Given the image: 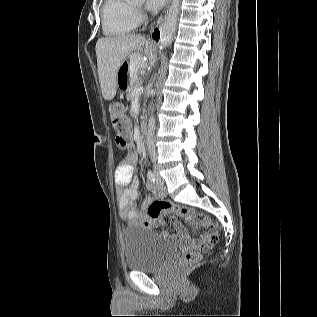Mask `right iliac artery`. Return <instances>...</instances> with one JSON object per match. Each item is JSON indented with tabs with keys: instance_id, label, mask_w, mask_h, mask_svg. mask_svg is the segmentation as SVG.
<instances>
[{
	"instance_id": "1",
	"label": "right iliac artery",
	"mask_w": 317,
	"mask_h": 317,
	"mask_svg": "<svg viewBox=\"0 0 317 317\" xmlns=\"http://www.w3.org/2000/svg\"><path fill=\"white\" fill-rule=\"evenodd\" d=\"M147 178H148V180H150L151 182H155V180H156V174H155V172H153V171H148V173H147Z\"/></svg>"
}]
</instances>
